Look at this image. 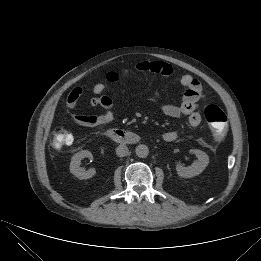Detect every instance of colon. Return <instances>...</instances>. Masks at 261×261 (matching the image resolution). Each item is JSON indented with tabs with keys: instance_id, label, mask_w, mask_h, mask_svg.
<instances>
[{
	"instance_id": "colon-1",
	"label": "colon",
	"mask_w": 261,
	"mask_h": 261,
	"mask_svg": "<svg viewBox=\"0 0 261 261\" xmlns=\"http://www.w3.org/2000/svg\"><path fill=\"white\" fill-rule=\"evenodd\" d=\"M118 74L110 72L107 75L108 81H116ZM205 119L210 126V129L215 139H221L227 131V117L225 113L216 105H209L204 111ZM72 134L63 127H56L52 133V146L56 149H60L72 143Z\"/></svg>"
}]
</instances>
